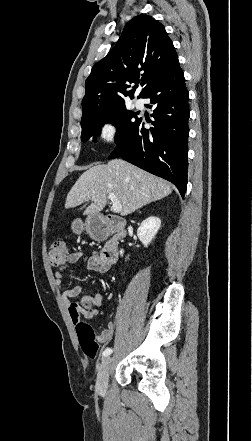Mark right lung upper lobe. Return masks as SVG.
<instances>
[{"instance_id": "cb5924a9", "label": "right lung upper lobe", "mask_w": 252, "mask_h": 441, "mask_svg": "<svg viewBox=\"0 0 252 441\" xmlns=\"http://www.w3.org/2000/svg\"><path fill=\"white\" fill-rule=\"evenodd\" d=\"M178 60L164 26L147 15L129 21L115 47L95 64L85 82L81 124L104 111L125 105L133 98L131 83L144 86L143 98Z\"/></svg>"}]
</instances>
